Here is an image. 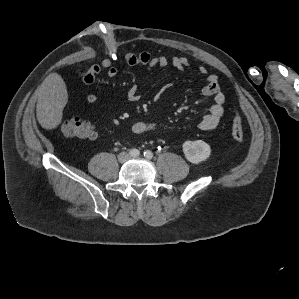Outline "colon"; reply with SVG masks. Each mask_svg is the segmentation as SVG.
<instances>
[{
    "label": "colon",
    "mask_w": 299,
    "mask_h": 299,
    "mask_svg": "<svg viewBox=\"0 0 299 299\" xmlns=\"http://www.w3.org/2000/svg\"><path fill=\"white\" fill-rule=\"evenodd\" d=\"M61 131L65 136L77 139H90L95 135L94 126L78 116L63 120ZM231 137L235 141H241L244 138L243 121L238 112L234 115Z\"/></svg>",
    "instance_id": "5ec220e1"
}]
</instances>
